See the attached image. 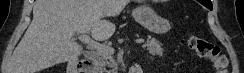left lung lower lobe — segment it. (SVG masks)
Returning <instances> with one entry per match:
<instances>
[{
	"instance_id": "1",
	"label": "left lung lower lobe",
	"mask_w": 244,
	"mask_h": 73,
	"mask_svg": "<svg viewBox=\"0 0 244 73\" xmlns=\"http://www.w3.org/2000/svg\"><path fill=\"white\" fill-rule=\"evenodd\" d=\"M200 3H202L205 7L212 9V3L210 0H198Z\"/></svg>"
}]
</instances>
